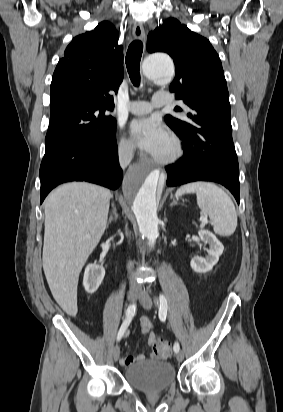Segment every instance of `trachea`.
Listing matches in <instances>:
<instances>
[{
	"label": "trachea",
	"instance_id": "1",
	"mask_svg": "<svg viewBox=\"0 0 283 412\" xmlns=\"http://www.w3.org/2000/svg\"><path fill=\"white\" fill-rule=\"evenodd\" d=\"M143 45L140 40L133 41L127 51L125 63L131 82L135 87L140 85V61Z\"/></svg>",
	"mask_w": 283,
	"mask_h": 412
}]
</instances>
